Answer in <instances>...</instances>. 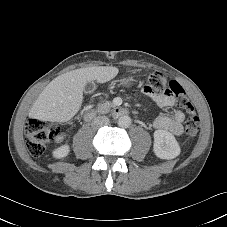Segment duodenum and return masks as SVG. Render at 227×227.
<instances>
[{"label":"duodenum","mask_w":227,"mask_h":227,"mask_svg":"<svg viewBox=\"0 0 227 227\" xmlns=\"http://www.w3.org/2000/svg\"><path fill=\"white\" fill-rule=\"evenodd\" d=\"M129 110L127 108L124 107H114L110 110V114L113 117H122V116H126L129 115ZM96 117V111L92 108H89L85 111V118L87 120H93Z\"/></svg>","instance_id":"duodenum-1"}]
</instances>
